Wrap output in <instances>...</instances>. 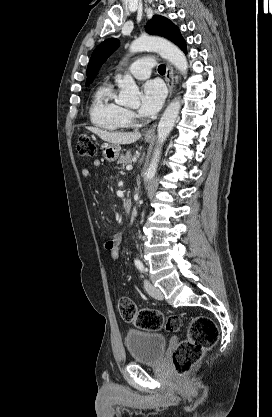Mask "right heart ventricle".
<instances>
[{"mask_svg": "<svg viewBox=\"0 0 272 417\" xmlns=\"http://www.w3.org/2000/svg\"><path fill=\"white\" fill-rule=\"evenodd\" d=\"M90 118L95 126L108 131L123 130L129 126L126 109L117 101L112 84L104 83L94 93Z\"/></svg>", "mask_w": 272, "mask_h": 417, "instance_id": "obj_1", "label": "right heart ventricle"}]
</instances>
